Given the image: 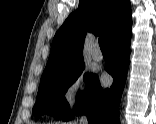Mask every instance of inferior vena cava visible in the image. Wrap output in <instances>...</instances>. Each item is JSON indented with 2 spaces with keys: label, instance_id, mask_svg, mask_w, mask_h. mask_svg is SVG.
<instances>
[{
  "label": "inferior vena cava",
  "instance_id": "602c4592",
  "mask_svg": "<svg viewBox=\"0 0 156 124\" xmlns=\"http://www.w3.org/2000/svg\"><path fill=\"white\" fill-rule=\"evenodd\" d=\"M79 124H88L87 118H86L85 116H82V117L80 118Z\"/></svg>",
  "mask_w": 156,
  "mask_h": 124
}]
</instances>
